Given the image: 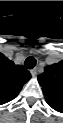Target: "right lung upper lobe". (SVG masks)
<instances>
[{
    "label": "right lung upper lobe",
    "mask_w": 63,
    "mask_h": 123,
    "mask_svg": "<svg viewBox=\"0 0 63 123\" xmlns=\"http://www.w3.org/2000/svg\"><path fill=\"white\" fill-rule=\"evenodd\" d=\"M0 71V100L6 103L18 95L23 85L31 78V74L5 56L2 57Z\"/></svg>",
    "instance_id": "1"
}]
</instances>
